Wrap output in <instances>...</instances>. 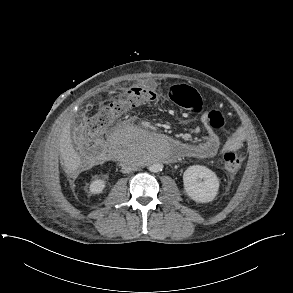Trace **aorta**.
I'll return each mask as SVG.
<instances>
[{
  "instance_id": "1",
  "label": "aorta",
  "mask_w": 293,
  "mask_h": 293,
  "mask_svg": "<svg viewBox=\"0 0 293 293\" xmlns=\"http://www.w3.org/2000/svg\"><path fill=\"white\" fill-rule=\"evenodd\" d=\"M169 146V141L163 137H153L151 139V153L154 156H164ZM162 168L163 165L160 162H154L148 167L149 171L154 173L162 171Z\"/></svg>"
}]
</instances>
